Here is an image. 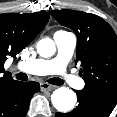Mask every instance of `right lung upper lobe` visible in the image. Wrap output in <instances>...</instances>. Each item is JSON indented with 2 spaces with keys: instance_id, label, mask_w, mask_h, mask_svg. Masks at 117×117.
Masks as SVG:
<instances>
[{
  "instance_id": "cb5924a9",
  "label": "right lung upper lobe",
  "mask_w": 117,
  "mask_h": 117,
  "mask_svg": "<svg viewBox=\"0 0 117 117\" xmlns=\"http://www.w3.org/2000/svg\"><path fill=\"white\" fill-rule=\"evenodd\" d=\"M48 20L47 12L0 14V91L16 81L4 69L7 58H16L43 30Z\"/></svg>"
}]
</instances>
